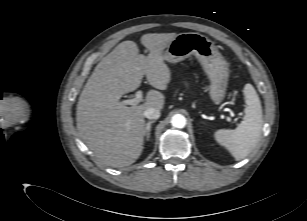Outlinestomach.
<instances>
[{
	"mask_svg": "<svg viewBox=\"0 0 307 221\" xmlns=\"http://www.w3.org/2000/svg\"><path fill=\"white\" fill-rule=\"evenodd\" d=\"M191 55L196 56L210 80L211 100L220 104L226 96L229 67L210 39L195 32L180 33L168 43L162 53L164 61L169 63H178Z\"/></svg>",
	"mask_w": 307,
	"mask_h": 221,
	"instance_id": "0dacf381",
	"label": "stomach"
}]
</instances>
